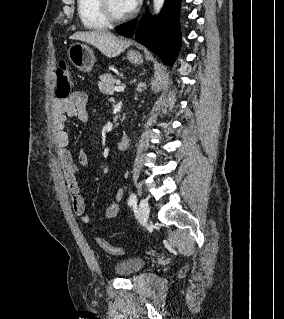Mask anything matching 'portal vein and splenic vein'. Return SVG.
<instances>
[{"label":"portal vein and splenic vein","mask_w":284,"mask_h":319,"mask_svg":"<svg viewBox=\"0 0 284 319\" xmlns=\"http://www.w3.org/2000/svg\"><path fill=\"white\" fill-rule=\"evenodd\" d=\"M114 90H115L116 92H123V91H124V87H122V86H116V87L114 88Z\"/></svg>","instance_id":"1"}]
</instances>
